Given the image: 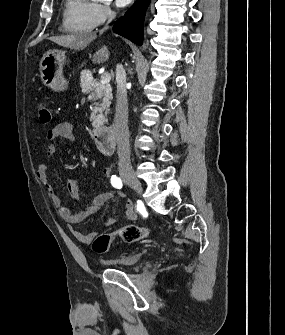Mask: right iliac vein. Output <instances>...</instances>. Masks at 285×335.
<instances>
[{
	"mask_svg": "<svg viewBox=\"0 0 285 335\" xmlns=\"http://www.w3.org/2000/svg\"><path fill=\"white\" fill-rule=\"evenodd\" d=\"M121 176L127 183V185L130 186L132 189H134L138 193L143 192L140 181L137 179L134 172L130 168H122Z\"/></svg>",
	"mask_w": 285,
	"mask_h": 335,
	"instance_id": "obj_1",
	"label": "right iliac vein"
}]
</instances>
